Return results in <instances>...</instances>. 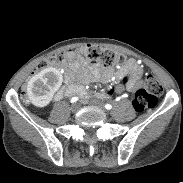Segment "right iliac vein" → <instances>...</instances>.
Segmentation results:
<instances>
[{
	"label": "right iliac vein",
	"mask_w": 183,
	"mask_h": 183,
	"mask_svg": "<svg viewBox=\"0 0 183 183\" xmlns=\"http://www.w3.org/2000/svg\"><path fill=\"white\" fill-rule=\"evenodd\" d=\"M79 104L78 103H75V104H73L72 106H71V110H72V112H76V111H78V109H79Z\"/></svg>",
	"instance_id": "right-iliac-vein-1"
}]
</instances>
